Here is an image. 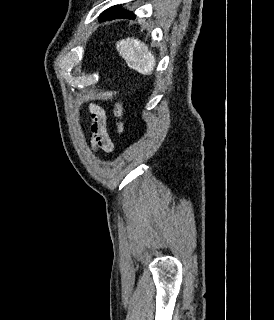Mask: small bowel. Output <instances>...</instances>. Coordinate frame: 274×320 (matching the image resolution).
I'll return each mask as SVG.
<instances>
[{"instance_id": "small-bowel-1", "label": "small bowel", "mask_w": 274, "mask_h": 320, "mask_svg": "<svg viewBox=\"0 0 274 320\" xmlns=\"http://www.w3.org/2000/svg\"><path fill=\"white\" fill-rule=\"evenodd\" d=\"M89 133L91 143L95 149L111 152L113 142L106 130L105 111L97 104L89 105Z\"/></svg>"}]
</instances>
